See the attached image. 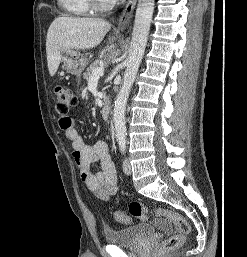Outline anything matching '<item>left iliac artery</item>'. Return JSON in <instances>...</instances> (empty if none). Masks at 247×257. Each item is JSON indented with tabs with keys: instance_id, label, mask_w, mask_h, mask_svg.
Listing matches in <instances>:
<instances>
[{
	"instance_id": "1",
	"label": "left iliac artery",
	"mask_w": 247,
	"mask_h": 257,
	"mask_svg": "<svg viewBox=\"0 0 247 257\" xmlns=\"http://www.w3.org/2000/svg\"><path fill=\"white\" fill-rule=\"evenodd\" d=\"M118 142H119L120 150L124 153L126 150V139L119 138Z\"/></svg>"
}]
</instances>
